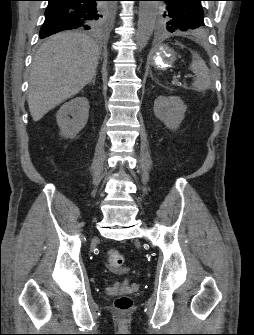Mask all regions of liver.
Listing matches in <instances>:
<instances>
[{"label":"liver","instance_id":"1","mask_svg":"<svg viewBox=\"0 0 254 335\" xmlns=\"http://www.w3.org/2000/svg\"><path fill=\"white\" fill-rule=\"evenodd\" d=\"M99 45L78 32L48 38L31 65L27 102L33 121L80 92L96 75Z\"/></svg>","mask_w":254,"mask_h":335}]
</instances>
